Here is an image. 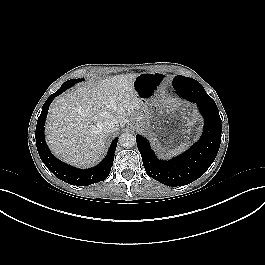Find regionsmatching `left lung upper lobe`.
<instances>
[{
  "label": "left lung upper lobe",
  "mask_w": 265,
  "mask_h": 265,
  "mask_svg": "<svg viewBox=\"0 0 265 265\" xmlns=\"http://www.w3.org/2000/svg\"><path fill=\"white\" fill-rule=\"evenodd\" d=\"M181 79H192V78H188V77H184V76H180V75L175 77V80H181Z\"/></svg>",
  "instance_id": "1"
}]
</instances>
